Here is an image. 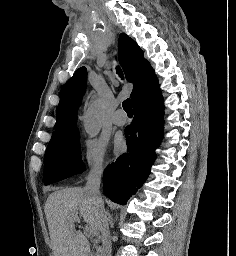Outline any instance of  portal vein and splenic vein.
Here are the masks:
<instances>
[{
  "label": "portal vein and splenic vein",
  "instance_id": "obj_1",
  "mask_svg": "<svg viewBox=\"0 0 236 256\" xmlns=\"http://www.w3.org/2000/svg\"><path fill=\"white\" fill-rule=\"evenodd\" d=\"M72 222H81V218H79V216H72ZM84 230L87 232V234H89V236H93L94 232L92 228H89V226H84Z\"/></svg>",
  "mask_w": 236,
  "mask_h": 256
}]
</instances>
